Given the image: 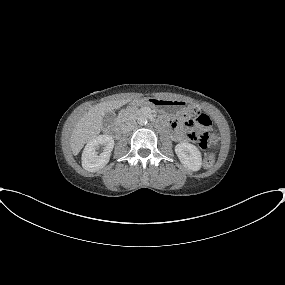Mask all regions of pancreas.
Segmentation results:
<instances>
[{
    "label": "pancreas",
    "mask_w": 285,
    "mask_h": 285,
    "mask_svg": "<svg viewBox=\"0 0 285 285\" xmlns=\"http://www.w3.org/2000/svg\"><path fill=\"white\" fill-rule=\"evenodd\" d=\"M139 112L137 109L133 108V107H128L126 110H124L122 112V114L120 115V117L118 118V122H123L126 120V118L130 117L131 115H133L134 113Z\"/></svg>",
    "instance_id": "cf45deb5"
}]
</instances>
